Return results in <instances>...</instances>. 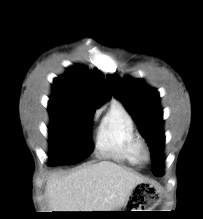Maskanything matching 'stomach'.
<instances>
[{"mask_svg": "<svg viewBox=\"0 0 203 219\" xmlns=\"http://www.w3.org/2000/svg\"><path fill=\"white\" fill-rule=\"evenodd\" d=\"M140 193L143 200H140V197L137 196V198H139V200L137 201L139 202V204L133 207V209H138V210H131V211H151V210H141V209L142 207H144V209H153L160 201L159 191L151 184L148 187L147 186L142 187L140 189ZM114 211H124V210H114ZM113 215H118V214H113Z\"/></svg>", "mask_w": 203, "mask_h": 219, "instance_id": "obj_1", "label": "stomach"}]
</instances>
